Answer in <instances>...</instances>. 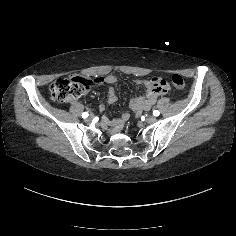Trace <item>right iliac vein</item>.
I'll list each match as a JSON object with an SVG mask.
<instances>
[{
	"mask_svg": "<svg viewBox=\"0 0 236 236\" xmlns=\"http://www.w3.org/2000/svg\"><path fill=\"white\" fill-rule=\"evenodd\" d=\"M92 120H93V117H92V116H89V117L86 119V121H87L88 123L92 122Z\"/></svg>",
	"mask_w": 236,
	"mask_h": 236,
	"instance_id": "right-iliac-vein-1",
	"label": "right iliac vein"
}]
</instances>
